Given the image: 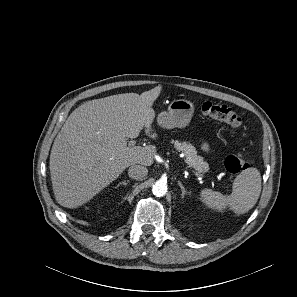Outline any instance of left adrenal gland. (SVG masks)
I'll return each instance as SVG.
<instances>
[{"instance_id":"1","label":"left adrenal gland","mask_w":297,"mask_h":297,"mask_svg":"<svg viewBox=\"0 0 297 297\" xmlns=\"http://www.w3.org/2000/svg\"><path fill=\"white\" fill-rule=\"evenodd\" d=\"M178 184L182 191L181 197L184 198V196L187 194V191H186L185 187L183 186V184L181 183V181H178Z\"/></svg>"}]
</instances>
